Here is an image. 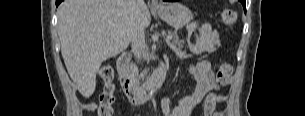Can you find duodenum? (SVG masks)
Returning a JSON list of instances; mask_svg holds the SVG:
<instances>
[{
  "label": "duodenum",
  "mask_w": 305,
  "mask_h": 116,
  "mask_svg": "<svg viewBox=\"0 0 305 116\" xmlns=\"http://www.w3.org/2000/svg\"><path fill=\"white\" fill-rule=\"evenodd\" d=\"M130 58L127 54H121L117 59L119 82L123 93L133 105H141L147 102L151 94L164 83L167 71V62H161L152 77L144 85L135 84L129 74Z\"/></svg>",
  "instance_id": "1"
}]
</instances>
